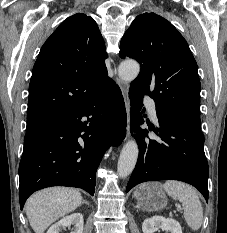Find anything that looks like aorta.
I'll return each instance as SVG.
<instances>
[{"mask_svg": "<svg viewBox=\"0 0 227 233\" xmlns=\"http://www.w3.org/2000/svg\"><path fill=\"white\" fill-rule=\"evenodd\" d=\"M139 71L140 65L136 61L127 60L119 65L118 75L124 81H132L138 76ZM138 153V145L133 139L123 146L117 165V172L120 177L125 178L132 173Z\"/></svg>", "mask_w": 227, "mask_h": 233, "instance_id": "1", "label": "aorta"}]
</instances>
